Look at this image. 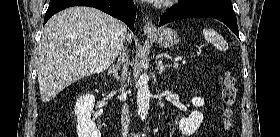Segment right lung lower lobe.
I'll return each instance as SVG.
<instances>
[{
  "label": "right lung lower lobe",
  "mask_w": 280,
  "mask_h": 137,
  "mask_svg": "<svg viewBox=\"0 0 280 137\" xmlns=\"http://www.w3.org/2000/svg\"><path fill=\"white\" fill-rule=\"evenodd\" d=\"M71 6H89L122 20L134 32L136 11L133 0H50L44 24L57 12Z\"/></svg>",
  "instance_id": "right-lung-lower-lobe-1"
}]
</instances>
